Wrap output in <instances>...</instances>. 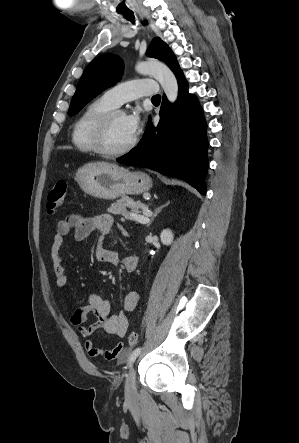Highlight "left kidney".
<instances>
[{"label": "left kidney", "instance_id": "obj_1", "mask_svg": "<svg viewBox=\"0 0 299 443\" xmlns=\"http://www.w3.org/2000/svg\"><path fill=\"white\" fill-rule=\"evenodd\" d=\"M160 238L164 245H170L173 242L174 235L170 229H165L161 232Z\"/></svg>", "mask_w": 299, "mask_h": 443}]
</instances>
